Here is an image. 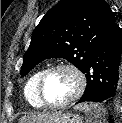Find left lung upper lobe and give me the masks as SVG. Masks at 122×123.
Segmentation results:
<instances>
[{
    "label": "left lung upper lobe",
    "instance_id": "5c2ea615",
    "mask_svg": "<svg viewBox=\"0 0 122 123\" xmlns=\"http://www.w3.org/2000/svg\"><path fill=\"white\" fill-rule=\"evenodd\" d=\"M116 22L105 0H61L34 29L21 75L41 61L61 57L84 71L91 54Z\"/></svg>",
    "mask_w": 122,
    "mask_h": 123
}]
</instances>
